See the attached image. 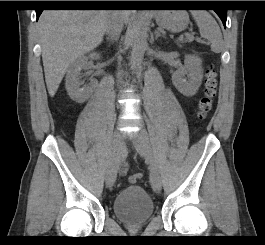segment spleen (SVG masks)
I'll use <instances>...</instances> for the list:
<instances>
[{
    "mask_svg": "<svg viewBox=\"0 0 265 245\" xmlns=\"http://www.w3.org/2000/svg\"><path fill=\"white\" fill-rule=\"evenodd\" d=\"M191 14L199 28L202 37L211 44V50L220 53L223 50V39L221 30L215 19L204 10H193Z\"/></svg>",
    "mask_w": 265,
    "mask_h": 245,
    "instance_id": "obj_1",
    "label": "spleen"
}]
</instances>
